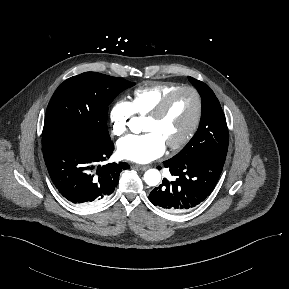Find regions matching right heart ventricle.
Returning <instances> with one entry per match:
<instances>
[{"label": "right heart ventricle", "instance_id": "obj_1", "mask_svg": "<svg viewBox=\"0 0 289 289\" xmlns=\"http://www.w3.org/2000/svg\"><path fill=\"white\" fill-rule=\"evenodd\" d=\"M180 85L168 82L150 83L134 90L131 105L134 114L147 116L162 99Z\"/></svg>", "mask_w": 289, "mask_h": 289}]
</instances>
